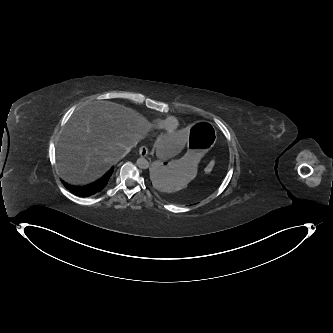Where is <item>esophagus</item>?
I'll use <instances>...</instances> for the list:
<instances>
[{"label":"esophagus","instance_id":"1","mask_svg":"<svg viewBox=\"0 0 333 333\" xmlns=\"http://www.w3.org/2000/svg\"><path fill=\"white\" fill-rule=\"evenodd\" d=\"M139 155L141 157H146L148 155V148L146 146H141L139 149Z\"/></svg>","mask_w":333,"mask_h":333}]
</instances>
